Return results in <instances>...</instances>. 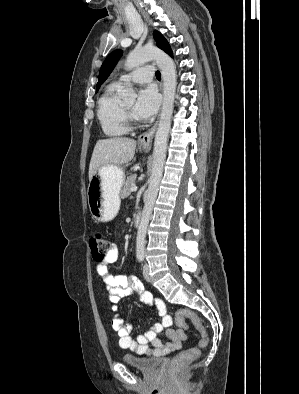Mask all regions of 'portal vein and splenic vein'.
I'll list each match as a JSON object with an SVG mask.
<instances>
[{
	"label": "portal vein and splenic vein",
	"mask_w": 299,
	"mask_h": 394,
	"mask_svg": "<svg viewBox=\"0 0 299 394\" xmlns=\"http://www.w3.org/2000/svg\"><path fill=\"white\" fill-rule=\"evenodd\" d=\"M137 190V186H133L132 188H131V191L132 192H134V191H136Z\"/></svg>",
	"instance_id": "18ae733b"
}]
</instances>
